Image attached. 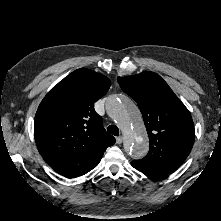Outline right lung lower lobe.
<instances>
[{
	"label": "right lung lower lobe",
	"instance_id": "obj_1",
	"mask_svg": "<svg viewBox=\"0 0 221 221\" xmlns=\"http://www.w3.org/2000/svg\"><path fill=\"white\" fill-rule=\"evenodd\" d=\"M106 147L96 148L83 154L55 163L51 167L67 178H76L92 170L100 162Z\"/></svg>",
	"mask_w": 221,
	"mask_h": 221
}]
</instances>
